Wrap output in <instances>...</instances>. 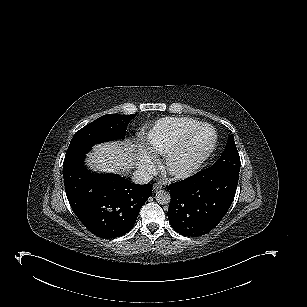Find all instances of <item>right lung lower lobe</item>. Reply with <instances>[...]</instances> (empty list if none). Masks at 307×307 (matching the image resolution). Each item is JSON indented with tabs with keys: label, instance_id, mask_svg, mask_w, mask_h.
I'll return each instance as SVG.
<instances>
[{
	"label": "right lung lower lobe",
	"instance_id": "98d812e1",
	"mask_svg": "<svg viewBox=\"0 0 307 307\" xmlns=\"http://www.w3.org/2000/svg\"><path fill=\"white\" fill-rule=\"evenodd\" d=\"M87 152L66 154L63 177L66 195L81 223L101 238H116L134 226L152 195V185H137L115 174L90 173L83 166Z\"/></svg>",
	"mask_w": 307,
	"mask_h": 307
}]
</instances>
